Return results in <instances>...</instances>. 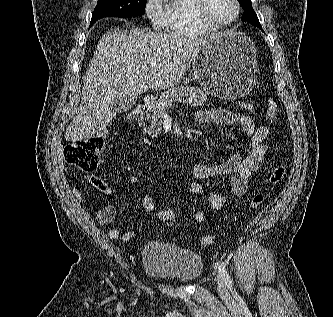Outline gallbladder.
Listing matches in <instances>:
<instances>
[{
  "instance_id": "1",
  "label": "gallbladder",
  "mask_w": 333,
  "mask_h": 317,
  "mask_svg": "<svg viewBox=\"0 0 333 317\" xmlns=\"http://www.w3.org/2000/svg\"><path fill=\"white\" fill-rule=\"evenodd\" d=\"M136 103L135 96H117L113 102L118 113L130 110Z\"/></svg>"
}]
</instances>
